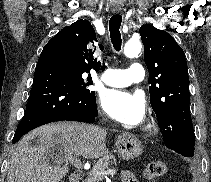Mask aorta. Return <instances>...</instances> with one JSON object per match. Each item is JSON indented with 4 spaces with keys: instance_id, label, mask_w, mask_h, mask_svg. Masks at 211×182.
Masks as SVG:
<instances>
[{
    "instance_id": "aorta-1",
    "label": "aorta",
    "mask_w": 211,
    "mask_h": 182,
    "mask_svg": "<svg viewBox=\"0 0 211 182\" xmlns=\"http://www.w3.org/2000/svg\"><path fill=\"white\" fill-rule=\"evenodd\" d=\"M142 45L139 41L129 40L124 46V55L133 58L139 55Z\"/></svg>"
}]
</instances>
